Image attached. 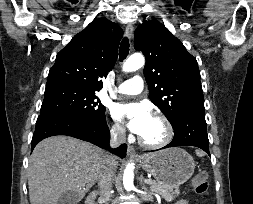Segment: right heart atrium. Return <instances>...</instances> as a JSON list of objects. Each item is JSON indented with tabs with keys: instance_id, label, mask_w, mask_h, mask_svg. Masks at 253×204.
Returning <instances> with one entry per match:
<instances>
[{
	"instance_id": "1",
	"label": "right heart atrium",
	"mask_w": 253,
	"mask_h": 204,
	"mask_svg": "<svg viewBox=\"0 0 253 204\" xmlns=\"http://www.w3.org/2000/svg\"><path fill=\"white\" fill-rule=\"evenodd\" d=\"M110 132H111V135L116 139H123L125 136V131L118 122H113L111 124Z\"/></svg>"
}]
</instances>
